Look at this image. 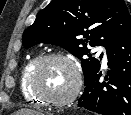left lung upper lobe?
<instances>
[{
    "label": "left lung upper lobe",
    "mask_w": 131,
    "mask_h": 115,
    "mask_svg": "<svg viewBox=\"0 0 131 115\" xmlns=\"http://www.w3.org/2000/svg\"><path fill=\"white\" fill-rule=\"evenodd\" d=\"M130 26L124 0H52L23 33V45L29 48L43 42L67 49L81 60L86 85L100 68L88 46L103 45L108 50Z\"/></svg>",
    "instance_id": "1"
}]
</instances>
